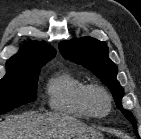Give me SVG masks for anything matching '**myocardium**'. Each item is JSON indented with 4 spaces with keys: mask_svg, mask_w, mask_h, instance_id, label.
Masks as SVG:
<instances>
[{
    "mask_svg": "<svg viewBox=\"0 0 141 139\" xmlns=\"http://www.w3.org/2000/svg\"><path fill=\"white\" fill-rule=\"evenodd\" d=\"M97 96H102L106 102V107L103 111H99L96 106ZM85 103L94 117L103 118L111 112L112 96L105 87L97 84H90L85 91Z\"/></svg>",
    "mask_w": 141,
    "mask_h": 139,
    "instance_id": "1",
    "label": "myocardium"
}]
</instances>
